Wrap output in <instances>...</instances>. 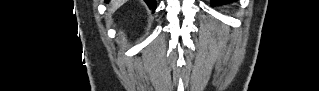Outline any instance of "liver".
Returning <instances> with one entry per match:
<instances>
[{"label":"liver","instance_id":"liver-1","mask_svg":"<svg viewBox=\"0 0 319 91\" xmlns=\"http://www.w3.org/2000/svg\"><path fill=\"white\" fill-rule=\"evenodd\" d=\"M126 2V0H111L110 1V8L109 12H114L117 10L121 5H123Z\"/></svg>","mask_w":319,"mask_h":91}]
</instances>
